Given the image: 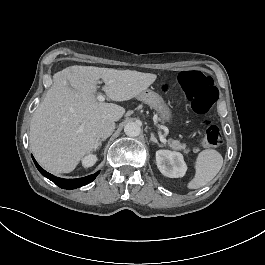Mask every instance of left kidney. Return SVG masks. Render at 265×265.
<instances>
[{
    "mask_svg": "<svg viewBox=\"0 0 265 265\" xmlns=\"http://www.w3.org/2000/svg\"><path fill=\"white\" fill-rule=\"evenodd\" d=\"M156 164L160 172L170 178L183 177L187 170L183 155L176 151H156Z\"/></svg>",
    "mask_w": 265,
    "mask_h": 265,
    "instance_id": "5707ae66",
    "label": "left kidney"
}]
</instances>
